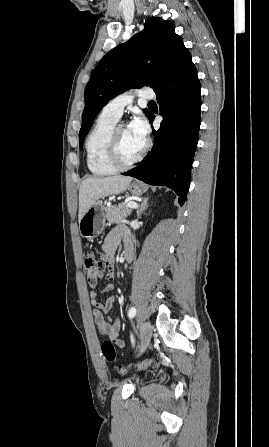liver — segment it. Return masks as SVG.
I'll list each match as a JSON object with an SVG mask.
<instances>
[{
	"mask_svg": "<svg viewBox=\"0 0 269 447\" xmlns=\"http://www.w3.org/2000/svg\"><path fill=\"white\" fill-rule=\"evenodd\" d=\"M130 182H132V178H128V176L86 178V180H83L79 190V222L96 200L124 192V190H127Z\"/></svg>",
	"mask_w": 269,
	"mask_h": 447,
	"instance_id": "6515ba94",
	"label": "liver"
}]
</instances>
